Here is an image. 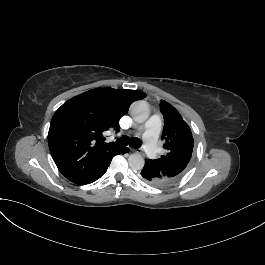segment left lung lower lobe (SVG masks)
<instances>
[{"instance_id": "obj_1", "label": "left lung lower lobe", "mask_w": 265, "mask_h": 265, "mask_svg": "<svg viewBox=\"0 0 265 265\" xmlns=\"http://www.w3.org/2000/svg\"><path fill=\"white\" fill-rule=\"evenodd\" d=\"M143 180L154 186H167L170 185V180L167 179L163 173L150 163L149 159L145 160V166L141 171Z\"/></svg>"}]
</instances>
